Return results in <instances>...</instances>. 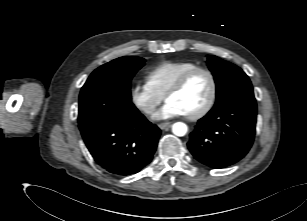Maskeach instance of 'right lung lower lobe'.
Segmentation results:
<instances>
[{"label":"right lung lower lobe","mask_w":307,"mask_h":221,"mask_svg":"<svg viewBox=\"0 0 307 221\" xmlns=\"http://www.w3.org/2000/svg\"><path fill=\"white\" fill-rule=\"evenodd\" d=\"M160 133L137 109L99 118L81 130L96 163L118 176L135 174L151 161Z\"/></svg>","instance_id":"98d812e1"}]
</instances>
